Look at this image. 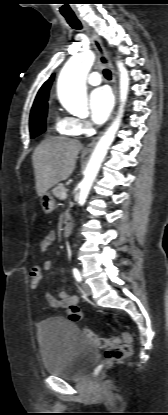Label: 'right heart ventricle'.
I'll use <instances>...</instances> for the list:
<instances>
[{
	"label": "right heart ventricle",
	"mask_w": 168,
	"mask_h": 415,
	"mask_svg": "<svg viewBox=\"0 0 168 415\" xmlns=\"http://www.w3.org/2000/svg\"><path fill=\"white\" fill-rule=\"evenodd\" d=\"M54 129L59 135L63 136H76V132L73 127V118L65 116H56Z\"/></svg>",
	"instance_id": "obj_1"
}]
</instances>
